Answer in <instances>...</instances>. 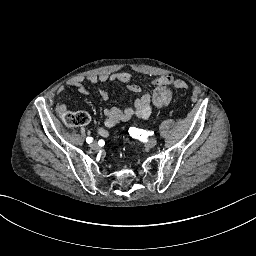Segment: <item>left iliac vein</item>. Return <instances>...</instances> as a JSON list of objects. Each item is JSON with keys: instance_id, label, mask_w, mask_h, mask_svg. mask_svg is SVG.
Instances as JSON below:
<instances>
[{"instance_id": "left-iliac-vein-1", "label": "left iliac vein", "mask_w": 256, "mask_h": 256, "mask_svg": "<svg viewBox=\"0 0 256 256\" xmlns=\"http://www.w3.org/2000/svg\"><path fill=\"white\" fill-rule=\"evenodd\" d=\"M146 145L149 147V148H153L157 145V139L156 138H151L147 143Z\"/></svg>"}]
</instances>
